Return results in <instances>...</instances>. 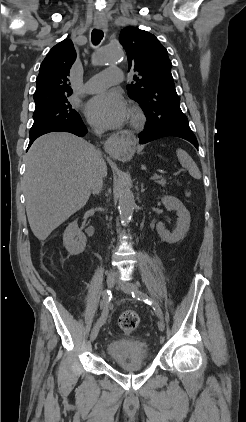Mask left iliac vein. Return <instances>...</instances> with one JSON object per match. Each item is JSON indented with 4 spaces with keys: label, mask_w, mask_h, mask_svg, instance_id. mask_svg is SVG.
I'll use <instances>...</instances> for the list:
<instances>
[{
    "label": "left iliac vein",
    "mask_w": 246,
    "mask_h": 422,
    "mask_svg": "<svg viewBox=\"0 0 246 422\" xmlns=\"http://www.w3.org/2000/svg\"><path fill=\"white\" fill-rule=\"evenodd\" d=\"M118 287H119V288H120L123 292H125V293H127V294H131V293H132V291L137 290L136 285H135V284H133V283H131V282H122V281H119V282H118ZM164 328H165L164 321H163V320H159V321H158V329H159L160 331H164Z\"/></svg>",
    "instance_id": "1"
}]
</instances>
